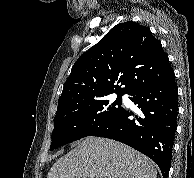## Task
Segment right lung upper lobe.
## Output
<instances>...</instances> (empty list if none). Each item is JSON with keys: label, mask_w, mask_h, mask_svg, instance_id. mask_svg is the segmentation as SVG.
Here are the masks:
<instances>
[{"label": "right lung upper lobe", "mask_w": 194, "mask_h": 178, "mask_svg": "<svg viewBox=\"0 0 194 178\" xmlns=\"http://www.w3.org/2000/svg\"><path fill=\"white\" fill-rule=\"evenodd\" d=\"M173 73L161 42L150 29L136 22H124L78 58L63 87L57 110L111 93L131 94Z\"/></svg>", "instance_id": "cb5924a9"}]
</instances>
